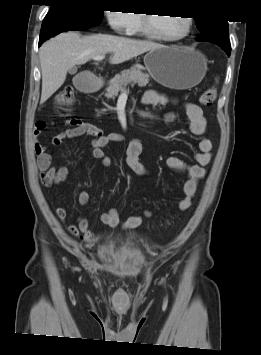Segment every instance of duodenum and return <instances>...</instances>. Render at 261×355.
<instances>
[{
  "mask_svg": "<svg viewBox=\"0 0 261 355\" xmlns=\"http://www.w3.org/2000/svg\"><path fill=\"white\" fill-rule=\"evenodd\" d=\"M77 87L82 91H93L97 89V82L93 79H79L77 81Z\"/></svg>",
  "mask_w": 261,
  "mask_h": 355,
  "instance_id": "obj_1",
  "label": "duodenum"
}]
</instances>
